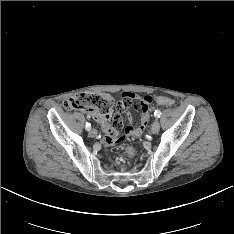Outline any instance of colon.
I'll use <instances>...</instances> for the list:
<instances>
[{
    "label": "colon",
    "mask_w": 234,
    "mask_h": 234,
    "mask_svg": "<svg viewBox=\"0 0 234 234\" xmlns=\"http://www.w3.org/2000/svg\"><path fill=\"white\" fill-rule=\"evenodd\" d=\"M154 101L157 104L162 103L163 105L169 106L174 104L172 99L160 95L155 96ZM131 104L132 102L130 103V106ZM113 105V98L109 94L81 93L66 100L64 103V108L66 110H80L88 113H93L99 119L108 120L110 118ZM122 149L128 152L129 156H132L134 154L129 144H124L122 146Z\"/></svg>",
    "instance_id": "5ec220e1"
}]
</instances>
